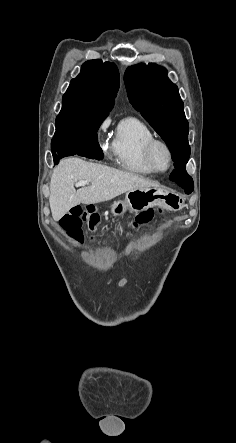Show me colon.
<instances>
[{
    "label": "colon",
    "mask_w": 236,
    "mask_h": 443,
    "mask_svg": "<svg viewBox=\"0 0 236 443\" xmlns=\"http://www.w3.org/2000/svg\"><path fill=\"white\" fill-rule=\"evenodd\" d=\"M155 215L156 212L154 210L143 211L135 217L130 226L132 229H138L150 223L155 218ZM99 223V216L94 211L81 205L71 207L61 218L62 227L67 230L70 236L77 240H82L83 238L82 226L84 224L92 228L98 226Z\"/></svg>",
    "instance_id": "5ec220e1"
}]
</instances>
